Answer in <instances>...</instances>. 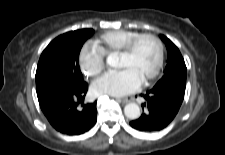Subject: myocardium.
Returning a JSON list of instances; mask_svg holds the SVG:
<instances>
[{
	"instance_id": "f54148a6",
	"label": "myocardium",
	"mask_w": 225,
	"mask_h": 155,
	"mask_svg": "<svg viewBox=\"0 0 225 155\" xmlns=\"http://www.w3.org/2000/svg\"><path fill=\"white\" fill-rule=\"evenodd\" d=\"M144 38H149L153 40L157 46V60L154 69L152 72L143 80L144 83H148L159 74L163 59H164V46L160 38L152 33H140L133 37L128 43L123 47V49L119 52V55L128 56L131 55L138 44V42Z\"/></svg>"
}]
</instances>
